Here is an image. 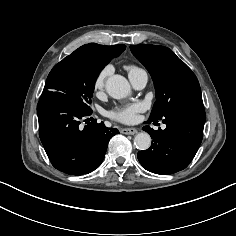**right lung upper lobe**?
Listing matches in <instances>:
<instances>
[{
  "label": "right lung upper lobe",
  "mask_w": 236,
  "mask_h": 236,
  "mask_svg": "<svg viewBox=\"0 0 236 236\" xmlns=\"http://www.w3.org/2000/svg\"><path fill=\"white\" fill-rule=\"evenodd\" d=\"M125 48V45L104 46L90 43L81 46L75 50L74 53L104 55L114 58L119 56L125 50Z\"/></svg>",
  "instance_id": "cb5924a9"
}]
</instances>
